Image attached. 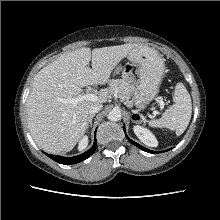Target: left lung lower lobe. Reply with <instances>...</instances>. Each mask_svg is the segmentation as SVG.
<instances>
[{
  "label": "left lung lower lobe",
  "instance_id": "0a47b994",
  "mask_svg": "<svg viewBox=\"0 0 220 220\" xmlns=\"http://www.w3.org/2000/svg\"><path fill=\"white\" fill-rule=\"evenodd\" d=\"M124 132H125V126H124ZM126 137H127V135H126ZM127 138H128V137H127ZM128 139H129V138H128ZM129 141H130L132 144H134L135 146H137L138 148H140L141 150H143V151H146V152H149V153H153V154H155V153H161V152L149 150V149H147V148H145V147L139 145L138 143H136V142H134V141H132V140H130V139H129ZM165 151H168V150H165ZM165 151H162V152H165Z\"/></svg>",
  "mask_w": 220,
  "mask_h": 220
}]
</instances>
